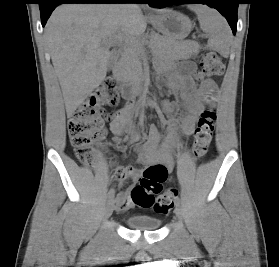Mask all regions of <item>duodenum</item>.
<instances>
[{"instance_id": "1", "label": "duodenum", "mask_w": 279, "mask_h": 267, "mask_svg": "<svg viewBox=\"0 0 279 267\" xmlns=\"http://www.w3.org/2000/svg\"><path fill=\"white\" fill-rule=\"evenodd\" d=\"M112 76L115 81L120 84V92L123 98L128 99L130 105L134 104L136 96L142 94L144 90V82L140 81L136 84L127 85L124 83V71L121 62H117L112 69Z\"/></svg>"}]
</instances>
